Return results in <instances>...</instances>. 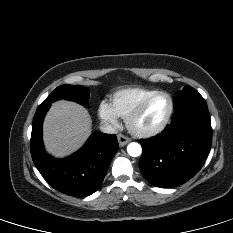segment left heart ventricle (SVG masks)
<instances>
[{"label":"left heart ventricle","mask_w":233,"mask_h":233,"mask_svg":"<svg viewBox=\"0 0 233 233\" xmlns=\"http://www.w3.org/2000/svg\"><path fill=\"white\" fill-rule=\"evenodd\" d=\"M169 106V99L165 95L156 96L135 119L134 126L139 130L156 128L165 119Z\"/></svg>","instance_id":"1"}]
</instances>
